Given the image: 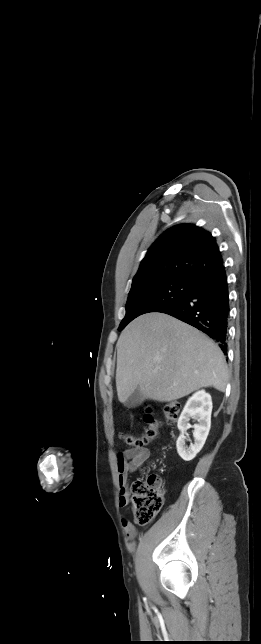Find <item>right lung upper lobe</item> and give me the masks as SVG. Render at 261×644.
<instances>
[{
	"label": "right lung upper lobe",
	"mask_w": 261,
	"mask_h": 644,
	"mask_svg": "<svg viewBox=\"0 0 261 644\" xmlns=\"http://www.w3.org/2000/svg\"><path fill=\"white\" fill-rule=\"evenodd\" d=\"M222 258L212 235L192 224L164 232L149 248L133 278L132 288L155 280H193L220 266Z\"/></svg>",
	"instance_id": "1"
}]
</instances>
